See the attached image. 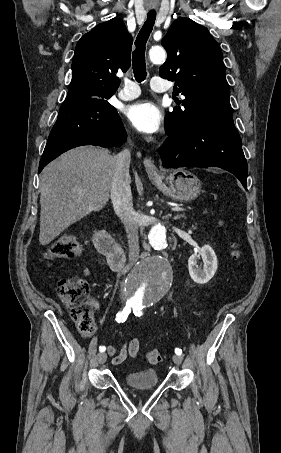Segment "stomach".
Instances as JSON below:
<instances>
[{
	"instance_id": "stomach-1",
	"label": "stomach",
	"mask_w": 281,
	"mask_h": 453,
	"mask_svg": "<svg viewBox=\"0 0 281 453\" xmlns=\"http://www.w3.org/2000/svg\"><path fill=\"white\" fill-rule=\"evenodd\" d=\"M150 180L158 186L166 196L179 202L194 200L200 194L201 182L193 172L184 168H166L158 174L149 176Z\"/></svg>"
}]
</instances>
